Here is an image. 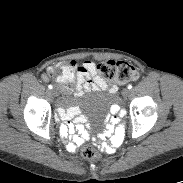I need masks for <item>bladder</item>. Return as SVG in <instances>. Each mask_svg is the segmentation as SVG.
Here are the masks:
<instances>
[{
	"label": "bladder",
	"mask_w": 183,
	"mask_h": 183,
	"mask_svg": "<svg viewBox=\"0 0 183 183\" xmlns=\"http://www.w3.org/2000/svg\"><path fill=\"white\" fill-rule=\"evenodd\" d=\"M114 101V96L104 88H95L81 96V105L91 116L106 113Z\"/></svg>",
	"instance_id": "obj_1"
}]
</instances>
